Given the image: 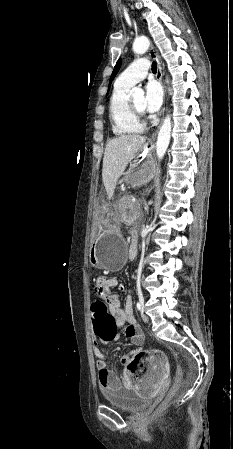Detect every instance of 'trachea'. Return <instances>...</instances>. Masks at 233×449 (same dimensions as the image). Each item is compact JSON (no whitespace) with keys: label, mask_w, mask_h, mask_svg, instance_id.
I'll return each mask as SVG.
<instances>
[{"label":"trachea","mask_w":233,"mask_h":449,"mask_svg":"<svg viewBox=\"0 0 233 449\" xmlns=\"http://www.w3.org/2000/svg\"><path fill=\"white\" fill-rule=\"evenodd\" d=\"M156 71H157V65H156L155 62H153V63H152V72H153V73H156Z\"/></svg>","instance_id":"1"}]
</instances>
